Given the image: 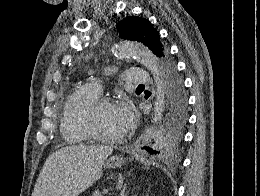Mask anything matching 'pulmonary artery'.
I'll use <instances>...</instances> for the list:
<instances>
[{"label":"pulmonary artery","mask_w":260,"mask_h":196,"mask_svg":"<svg viewBox=\"0 0 260 196\" xmlns=\"http://www.w3.org/2000/svg\"><path fill=\"white\" fill-rule=\"evenodd\" d=\"M120 77H125L127 84H152L150 72H143V69H126V72H120ZM96 91L101 92V87L96 86Z\"/></svg>","instance_id":"e3ab8cb5"}]
</instances>
